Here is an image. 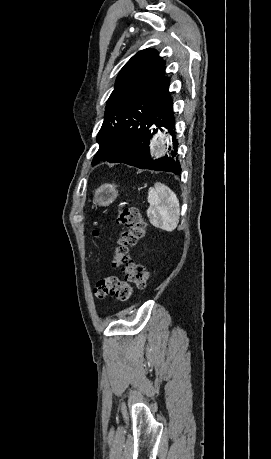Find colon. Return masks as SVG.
I'll use <instances>...</instances> for the list:
<instances>
[{
  "label": "colon",
  "instance_id": "colon-1",
  "mask_svg": "<svg viewBox=\"0 0 271 459\" xmlns=\"http://www.w3.org/2000/svg\"><path fill=\"white\" fill-rule=\"evenodd\" d=\"M118 222L122 226V231L117 239L112 264L122 270L128 283L122 281L117 275L102 277L93 290L97 299L114 296L120 301H126L132 293L130 284L142 289L147 283L148 271L129 255L130 247L134 246L144 234V218L137 208L128 207L120 211ZM92 234L95 238L100 236L99 230H94Z\"/></svg>",
  "mask_w": 271,
  "mask_h": 459
}]
</instances>
